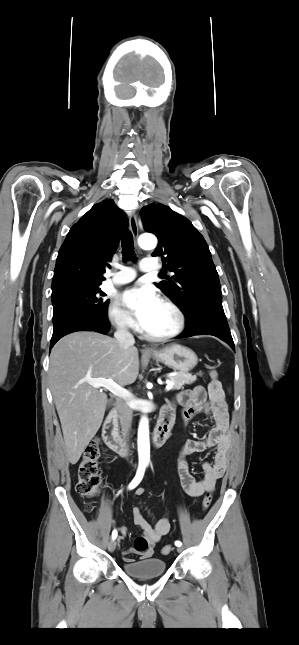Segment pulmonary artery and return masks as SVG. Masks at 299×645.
Masks as SVG:
<instances>
[{"instance_id":"pulmonary-artery-1","label":"pulmonary artery","mask_w":299,"mask_h":645,"mask_svg":"<svg viewBox=\"0 0 299 645\" xmlns=\"http://www.w3.org/2000/svg\"><path fill=\"white\" fill-rule=\"evenodd\" d=\"M159 264L151 258H145L141 261L140 270L143 272H155L159 270ZM136 277V272L131 267H121L112 278L111 282L116 285H122L131 282Z\"/></svg>"}]
</instances>
